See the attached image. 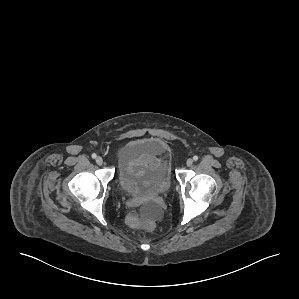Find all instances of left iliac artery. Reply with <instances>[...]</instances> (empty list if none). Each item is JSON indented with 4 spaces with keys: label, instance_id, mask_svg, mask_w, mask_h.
Instances as JSON below:
<instances>
[{
    "label": "left iliac artery",
    "instance_id": "obj_1",
    "mask_svg": "<svg viewBox=\"0 0 299 299\" xmlns=\"http://www.w3.org/2000/svg\"><path fill=\"white\" fill-rule=\"evenodd\" d=\"M193 160H194V161H197V160H198V156H196V155L193 156Z\"/></svg>",
    "mask_w": 299,
    "mask_h": 299
}]
</instances>
